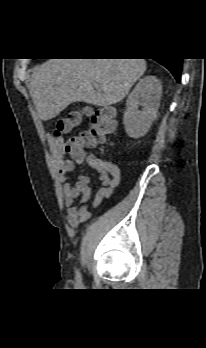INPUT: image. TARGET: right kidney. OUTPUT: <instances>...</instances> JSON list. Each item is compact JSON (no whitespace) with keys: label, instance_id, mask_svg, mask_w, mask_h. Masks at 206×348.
<instances>
[{"label":"right kidney","instance_id":"1","mask_svg":"<svg viewBox=\"0 0 206 348\" xmlns=\"http://www.w3.org/2000/svg\"><path fill=\"white\" fill-rule=\"evenodd\" d=\"M162 94L161 81L153 75L139 80L126 101L123 124L127 135L131 138L144 136L157 117ZM142 106L140 111L138 108Z\"/></svg>","mask_w":206,"mask_h":348}]
</instances>
